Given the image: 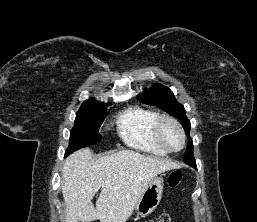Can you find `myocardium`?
<instances>
[{
	"instance_id": "obj_1",
	"label": "myocardium",
	"mask_w": 257,
	"mask_h": 222,
	"mask_svg": "<svg viewBox=\"0 0 257 222\" xmlns=\"http://www.w3.org/2000/svg\"><path fill=\"white\" fill-rule=\"evenodd\" d=\"M164 123H171L179 130L182 137V146L179 149H176V150L170 149L165 143V141L163 140L161 135V129ZM154 136L157 142L159 143V145L168 153L180 152L182 149H184L186 145V133L184 131V128L182 127V125L179 123L177 119L169 115H161L158 117L154 126Z\"/></svg>"
}]
</instances>
